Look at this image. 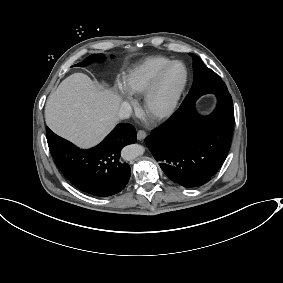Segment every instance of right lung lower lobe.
Returning <instances> with one entry per match:
<instances>
[{
  "label": "right lung lower lobe",
  "instance_id": "right-lung-lower-lobe-1",
  "mask_svg": "<svg viewBox=\"0 0 283 283\" xmlns=\"http://www.w3.org/2000/svg\"><path fill=\"white\" fill-rule=\"evenodd\" d=\"M51 155L64 177L79 190L93 196L105 197L123 190L131 170L122 163L120 153L124 146L137 140L131 124H118L94 148L82 150L46 128Z\"/></svg>",
  "mask_w": 283,
  "mask_h": 283
}]
</instances>
